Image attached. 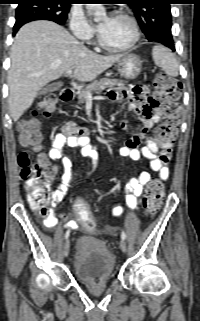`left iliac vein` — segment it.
Returning <instances> with one entry per match:
<instances>
[{
	"mask_svg": "<svg viewBox=\"0 0 200 321\" xmlns=\"http://www.w3.org/2000/svg\"><path fill=\"white\" fill-rule=\"evenodd\" d=\"M120 248H121V250H122L123 252L126 251V249H127V244H126V242H125L124 240L121 241V243H120Z\"/></svg>",
	"mask_w": 200,
	"mask_h": 321,
	"instance_id": "obj_1",
	"label": "left iliac vein"
}]
</instances>
